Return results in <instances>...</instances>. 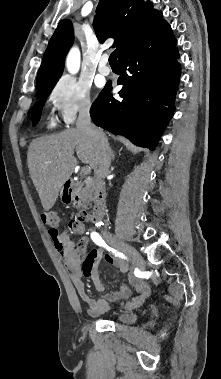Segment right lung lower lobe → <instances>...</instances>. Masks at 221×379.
I'll return each instance as SVG.
<instances>
[{
    "label": "right lung lower lobe",
    "instance_id": "98d812e1",
    "mask_svg": "<svg viewBox=\"0 0 221 379\" xmlns=\"http://www.w3.org/2000/svg\"><path fill=\"white\" fill-rule=\"evenodd\" d=\"M177 41L164 21L119 56L120 77L114 99L106 85L90 109L93 122L123 135L137 146L154 150L160 132L173 116L181 74ZM108 95V96H107Z\"/></svg>",
    "mask_w": 221,
    "mask_h": 379
}]
</instances>
